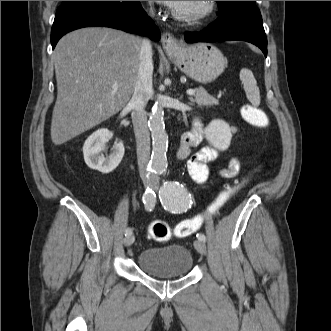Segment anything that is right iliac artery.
I'll return each instance as SVG.
<instances>
[{"label": "right iliac artery", "mask_w": 331, "mask_h": 331, "mask_svg": "<svg viewBox=\"0 0 331 331\" xmlns=\"http://www.w3.org/2000/svg\"><path fill=\"white\" fill-rule=\"evenodd\" d=\"M147 171L150 172H154L155 170L153 168H148ZM143 202L145 205V209L147 211H151L156 203V195L155 192L151 189V188H147L144 195H143ZM132 234V230L131 228H127L125 230V236L127 235H131Z\"/></svg>", "instance_id": "obj_1"}]
</instances>
